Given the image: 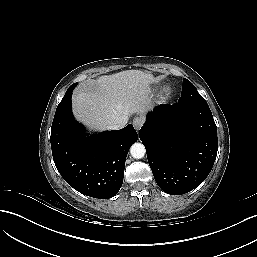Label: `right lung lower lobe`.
Here are the masks:
<instances>
[{
	"label": "right lung lower lobe",
	"mask_w": 257,
	"mask_h": 257,
	"mask_svg": "<svg viewBox=\"0 0 257 257\" xmlns=\"http://www.w3.org/2000/svg\"><path fill=\"white\" fill-rule=\"evenodd\" d=\"M137 139L131 124L88 136L73 117L71 100L56 109L50 137L54 163L64 180L78 192L102 199L120 190L126 156Z\"/></svg>",
	"instance_id": "right-lung-lower-lobe-1"
}]
</instances>
